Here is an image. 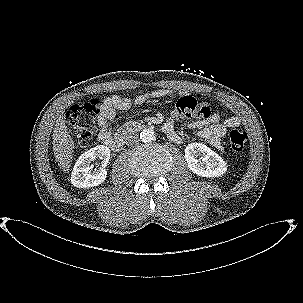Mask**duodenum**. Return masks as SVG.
Masks as SVG:
<instances>
[{
	"mask_svg": "<svg viewBox=\"0 0 303 303\" xmlns=\"http://www.w3.org/2000/svg\"><path fill=\"white\" fill-rule=\"evenodd\" d=\"M146 128L147 126L143 124H130L119 136L109 139L107 145H109L114 151H120L124 145L125 136L128 132L143 130ZM162 130L168 137L172 136L171 133L165 131L163 128Z\"/></svg>",
	"mask_w": 303,
	"mask_h": 303,
	"instance_id": "obj_1",
	"label": "duodenum"
}]
</instances>
